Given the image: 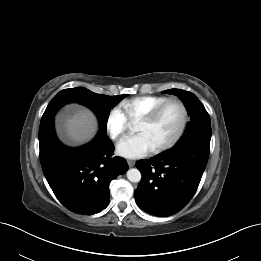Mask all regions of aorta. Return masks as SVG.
I'll use <instances>...</instances> for the list:
<instances>
[{
	"instance_id": "1",
	"label": "aorta",
	"mask_w": 261,
	"mask_h": 261,
	"mask_svg": "<svg viewBox=\"0 0 261 261\" xmlns=\"http://www.w3.org/2000/svg\"><path fill=\"white\" fill-rule=\"evenodd\" d=\"M127 178L129 181L133 182V183H138L141 180V173L138 169H129L127 171Z\"/></svg>"
}]
</instances>
